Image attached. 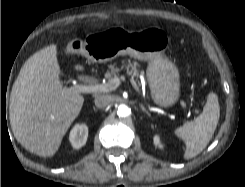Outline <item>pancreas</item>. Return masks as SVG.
Instances as JSON below:
<instances>
[{
  "mask_svg": "<svg viewBox=\"0 0 245 187\" xmlns=\"http://www.w3.org/2000/svg\"><path fill=\"white\" fill-rule=\"evenodd\" d=\"M137 63L132 64L130 61H128V65L122 66V68H125L129 74L137 75L139 72L142 73V71L137 70ZM109 70L105 73V78L109 81L117 76L119 69L116 67V63L110 64L108 66Z\"/></svg>",
  "mask_w": 245,
  "mask_h": 187,
  "instance_id": "pancreas-1",
  "label": "pancreas"
}]
</instances>
